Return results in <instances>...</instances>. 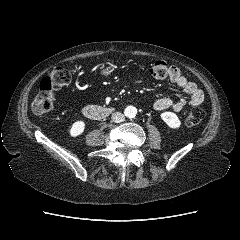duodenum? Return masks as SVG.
Wrapping results in <instances>:
<instances>
[{"mask_svg": "<svg viewBox=\"0 0 240 240\" xmlns=\"http://www.w3.org/2000/svg\"><path fill=\"white\" fill-rule=\"evenodd\" d=\"M111 108L97 105H87L83 108V114L90 119L99 120L108 116Z\"/></svg>", "mask_w": 240, "mask_h": 240, "instance_id": "1", "label": "duodenum"}]
</instances>
